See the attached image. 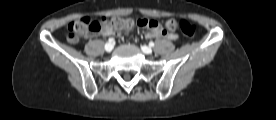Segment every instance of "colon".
I'll list each match as a JSON object with an SVG mask.
<instances>
[{
  "label": "colon",
  "mask_w": 276,
  "mask_h": 120,
  "mask_svg": "<svg viewBox=\"0 0 276 120\" xmlns=\"http://www.w3.org/2000/svg\"><path fill=\"white\" fill-rule=\"evenodd\" d=\"M134 25L132 19L114 18L108 20L101 18L99 20H91L90 18H81L68 25L67 40L70 43H76L81 37L87 34H96L102 32H115L119 30L131 29ZM140 26H150L151 21L147 19H141L138 21ZM179 30L185 37L192 38L196 34V26L193 22L187 19H169L165 22V31L174 32Z\"/></svg>",
  "instance_id": "obj_1"
}]
</instances>
